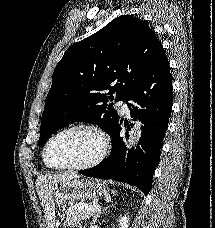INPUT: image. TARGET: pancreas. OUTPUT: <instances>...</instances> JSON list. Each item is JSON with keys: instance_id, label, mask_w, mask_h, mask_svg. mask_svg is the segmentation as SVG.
Returning a JSON list of instances; mask_svg holds the SVG:
<instances>
[{"instance_id": "1", "label": "pancreas", "mask_w": 215, "mask_h": 228, "mask_svg": "<svg viewBox=\"0 0 215 228\" xmlns=\"http://www.w3.org/2000/svg\"><path fill=\"white\" fill-rule=\"evenodd\" d=\"M77 206H69L67 210V216L65 220V224H67L68 228H83V224L81 222H87L90 218L95 216V212H87V210H77Z\"/></svg>"}]
</instances>
